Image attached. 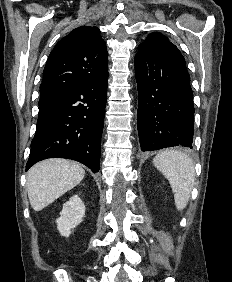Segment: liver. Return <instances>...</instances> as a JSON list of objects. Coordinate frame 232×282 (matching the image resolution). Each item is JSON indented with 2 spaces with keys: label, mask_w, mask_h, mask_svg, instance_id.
<instances>
[{
  "label": "liver",
  "mask_w": 232,
  "mask_h": 282,
  "mask_svg": "<svg viewBox=\"0 0 232 282\" xmlns=\"http://www.w3.org/2000/svg\"><path fill=\"white\" fill-rule=\"evenodd\" d=\"M85 170L65 159H47L34 165L27 173L30 204L40 211L67 191L78 185Z\"/></svg>",
  "instance_id": "liver-1"
}]
</instances>
